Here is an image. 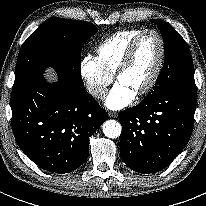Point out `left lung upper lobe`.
Segmentation results:
<instances>
[{
	"label": "left lung upper lobe",
	"instance_id": "obj_1",
	"mask_svg": "<svg viewBox=\"0 0 206 206\" xmlns=\"http://www.w3.org/2000/svg\"><path fill=\"white\" fill-rule=\"evenodd\" d=\"M157 23L164 40L165 62L153 91L145 98H151L179 87H196L192 56L187 43L168 23L159 19Z\"/></svg>",
	"mask_w": 206,
	"mask_h": 206
}]
</instances>
